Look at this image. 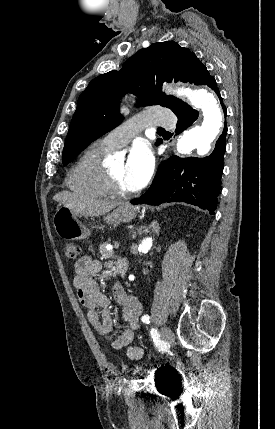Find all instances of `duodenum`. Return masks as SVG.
<instances>
[{"label": "duodenum", "instance_id": "duodenum-1", "mask_svg": "<svg viewBox=\"0 0 275 429\" xmlns=\"http://www.w3.org/2000/svg\"><path fill=\"white\" fill-rule=\"evenodd\" d=\"M127 270V262L125 260H119L116 264L115 271L118 275L124 276Z\"/></svg>", "mask_w": 275, "mask_h": 429}]
</instances>
